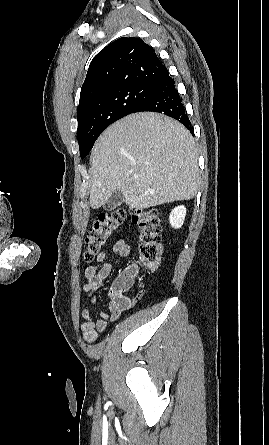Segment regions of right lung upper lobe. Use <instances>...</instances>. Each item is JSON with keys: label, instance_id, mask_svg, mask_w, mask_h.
I'll list each match as a JSON object with an SVG mask.
<instances>
[{"label": "right lung upper lobe", "instance_id": "obj_1", "mask_svg": "<svg viewBox=\"0 0 269 445\" xmlns=\"http://www.w3.org/2000/svg\"><path fill=\"white\" fill-rule=\"evenodd\" d=\"M167 70L154 49L140 38L122 37L91 61L81 87L80 109L88 101L129 85H153Z\"/></svg>", "mask_w": 269, "mask_h": 445}]
</instances>
